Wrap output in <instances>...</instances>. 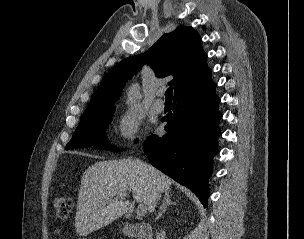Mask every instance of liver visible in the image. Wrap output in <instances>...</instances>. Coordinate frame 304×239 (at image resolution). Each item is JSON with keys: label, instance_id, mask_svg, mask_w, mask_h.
Instances as JSON below:
<instances>
[{"label": "liver", "instance_id": "6515ba94", "mask_svg": "<svg viewBox=\"0 0 304 239\" xmlns=\"http://www.w3.org/2000/svg\"><path fill=\"white\" fill-rule=\"evenodd\" d=\"M172 180L139 160L98 161L83 174L78 193L75 229L86 236L123 216L129 201L120 193L132 192L134 199L153 212L154 195L169 190Z\"/></svg>", "mask_w": 304, "mask_h": 239}]
</instances>
